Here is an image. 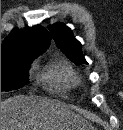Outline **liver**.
<instances>
[{
    "label": "liver",
    "mask_w": 123,
    "mask_h": 130,
    "mask_svg": "<svg viewBox=\"0 0 123 130\" xmlns=\"http://www.w3.org/2000/svg\"><path fill=\"white\" fill-rule=\"evenodd\" d=\"M92 126L58 100L13 96L1 102V130H75Z\"/></svg>",
    "instance_id": "6515ba94"
}]
</instances>
